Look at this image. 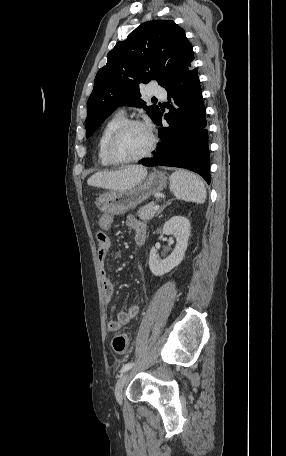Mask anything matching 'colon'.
Listing matches in <instances>:
<instances>
[{
    "label": "colon",
    "instance_id": "5ec220e1",
    "mask_svg": "<svg viewBox=\"0 0 286 456\" xmlns=\"http://www.w3.org/2000/svg\"><path fill=\"white\" fill-rule=\"evenodd\" d=\"M112 348L116 354H123L128 348V337L125 334L117 335L112 340Z\"/></svg>",
    "mask_w": 286,
    "mask_h": 456
}]
</instances>
